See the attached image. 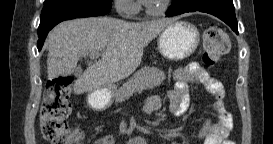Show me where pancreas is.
Instances as JSON below:
<instances>
[{"instance_id": "1", "label": "pancreas", "mask_w": 273, "mask_h": 144, "mask_svg": "<svg viewBox=\"0 0 273 144\" xmlns=\"http://www.w3.org/2000/svg\"><path fill=\"white\" fill-rule=\"evenodd\" d=\"M165 78L166 75L162 70L153 67H143L128 79L122 87L116 90L115 101L121 103L136 92L157 87Z\"/></svg>"}]
</instances>
